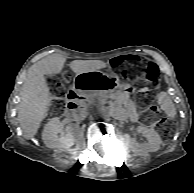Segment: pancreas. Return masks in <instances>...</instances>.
Here are the masks:
<instances>
[{
    "label": "pancreas",
    "instance_id": "pancreas-1",
    "mask_svg": "<svg viewBox=\"0 0 194 193\" xmlns=\"http://www.w3.org/2000/svg\"><path fill=\"white\" fill-rule=\"evenodd\" d=\"M106 99H108L109 101H112V100L116 99V96L115 95L100 94V97H97L95 99V102L97 104H100V103L104 104Z\"/></svg>",
    "mask_w": 194,
    "mask_h": 193
}]
</instances>
